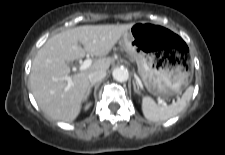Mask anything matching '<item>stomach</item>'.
Wrapping results in <instances>:
<instances>
[{
	"instance_id": "stomach-1",
	"label": "stomach",
	"mask_w": 225,
	"mask_h": 155,
	"mask_svg": "<svg viewBox=\"0 0 225 155\" xmlns=\"http://www.w3.org/2000/svg\"><path fill=\"white\" fill-rule=\"evenodd\" d=\"M127 53L136 60L146 89L158 96L179 93L190 83V71L179 51L177 35L166 27L135 23L124 35Z\"/></svg>"
}]
</instances>
